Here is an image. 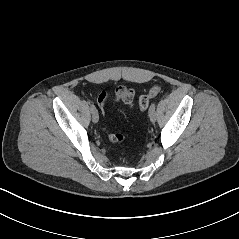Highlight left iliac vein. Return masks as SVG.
<instances>
[{
    "label": "left iliac vein",
    "mask_w": 239,
    "mask_h": 239,
    "mask_svg": "<svg viewBox=\"0 0 239 239\" xmlns=\"http://www.w3.org/2000/svg\"><path fill=\"white\" fill-rule=\"evenodd\" d=\"M149 117H150V121L154 123L157 118L156 111L154 110V111L149 112Z\"/></svg>",
    "instance_id": "1"
}]
</instances>
